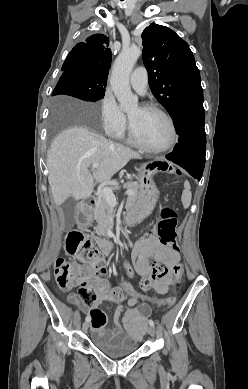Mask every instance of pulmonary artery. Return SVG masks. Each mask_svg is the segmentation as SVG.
I'll list each match as a JSON object with an SVG mask.
<instances>
[{"label":"pulmonary artery","mask_w":248,"mask_h":389,"mask_svg":"<svg viewBox=\"0 0 248 389\" xmlns=\"http://www.w3.org/2000/svg\"><path fill=\"white\" fill-rule=\"evenodd\" d=\"M147 70L145 67L136 68L130 76L131 86L139 93L144 94L147 89Z\"/></svg>","instance_id":"1"}]
</instances>
